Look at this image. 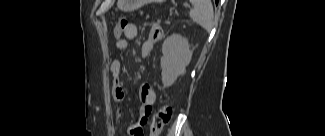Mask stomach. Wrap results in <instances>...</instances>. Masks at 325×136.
<instances>
[{"instance_id": "stomach-1", "label": "stomach", "mask_w": 325, "mask_h": 136, "mask_svg": "<svg viewBox=\"0 0 325 136\" xmlns=\"http://www.w3.org/2000/svg\"><path fill=\"white\" fill-rule=\"evenodd\" d=\"M153 2H162L163 0H151ZM144 0H118V6L124 11H131L139 7Z\"/></svg>"}]
</instances>
